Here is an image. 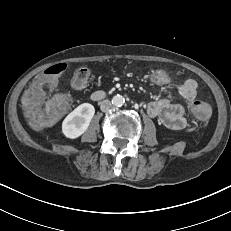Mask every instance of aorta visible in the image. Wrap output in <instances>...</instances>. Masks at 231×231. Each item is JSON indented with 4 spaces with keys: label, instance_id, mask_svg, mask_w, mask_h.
I'll list each match as a JSON object with an SVG mask.
<instances>
[{
    "label": "aorta",
    "instance_id": "762f6f07",
    "mask_svg": "<svg viewBox=\"0 0 231 231\" xmlns=\"http://www.w3.org/2000/svg\"><path fill=\"white\" fill-rule=\"evenodd\" d=\"M124 102H125V99L123 96L121 95H115L113 96L112 98V105L115 106V107H121L124 105Z\"/></svg>",
    "mask_w": 231,
    "mask_h": 231
}]
</instances>
